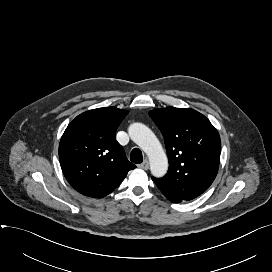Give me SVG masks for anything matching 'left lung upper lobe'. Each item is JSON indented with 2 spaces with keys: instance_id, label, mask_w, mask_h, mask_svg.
I'll return each mask as SVG.
<instances>
[{
  "instance_id": "obj_1",
  "label": "left lung upper lobe",
  "mask_w": 272,
  "mask_h": 272,
  "mask_svg": "<svg viewBox=\"0 0 272 272\" xmlns=\"http://www.w3.org/2000/svg\"><path fill=\"white\" fill-rule=\"evenodd\" d=\"M150 117L165 140L168 173L152 178L174 203L194 199L214 181L219 167L221 140L210 121L191 108L154 109Z\"/></svg>"
}]
</instances>
